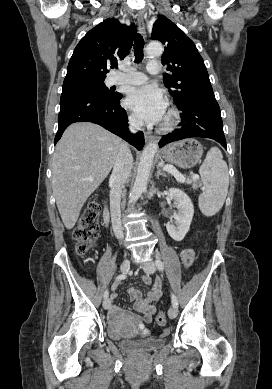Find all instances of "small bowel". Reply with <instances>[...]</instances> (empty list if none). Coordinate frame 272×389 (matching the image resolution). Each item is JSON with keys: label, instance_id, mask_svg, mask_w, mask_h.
<instances>
[{"label": "small bowel", "instance_id": "small-bowel-1", "mask_svg": "<svg viewBox=\"0 0 272 389\" xmlns=\"http://www.w3.org/2000/svg\"><path fill=\"white\" fill-rule=\"evenodd\" d=\"M180 257L183 265L189 267L193 262L194 252L190 248L182 249ZM142 280L146 285H151L145 296H143L142 292L134 286L130 287L128 290L130 300L133 302L134 311L142 314V316H137L114 305L111 307L110 314L114 319L125 318L135 322L138 324V328L143 334H148L149 330L146 326L152 322V316L156 312L155 304L162 295V289L159 278H156L153 284L151 277L148 275H144ZM116 287L117 285H114L113 290H115ZM115 297V294L111 295L112 299H115Z\"/></svg>", "mask_w": 272, "mask_h": 389}]
</instances>
